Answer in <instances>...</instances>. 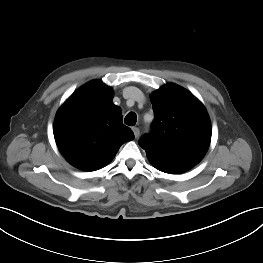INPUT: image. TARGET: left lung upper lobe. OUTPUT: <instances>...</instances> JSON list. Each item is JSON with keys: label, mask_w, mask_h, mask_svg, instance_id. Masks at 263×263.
I'll use <instances>...</instances> for the list:
<instances>
[{"label": "left lung upper lobe", "mask_w": 263, "mask_h": 263, "mask_svg": "<svg viewBox=\"0 0 263 263\" xmlns=\"http://www.w3.org/2000/svg\"><path fill=\"white\" fill-rule=\"evenodd\" d=\"M155 113L150 134L139 145L148 157L195 166L211 141V123L202 103L186 89L170 83L151 95Z\"/></svg>", "instance_id": "left-lung-upper-lobe-1"}]
</instances>
